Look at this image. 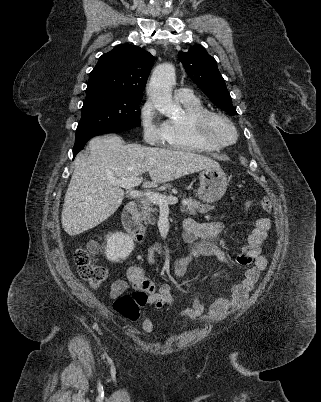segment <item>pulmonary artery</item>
Segmentation results:
<instances>
[{"instance_id":"1","label":"pulmonary artery","mask_w":321,"mask_h":402,"mask_svg":"<svg viewBox=\"0 0 321 402\" xmlns=\"http://www.w3.org/2000/svg\"><path fill=\"white\" fill-rule=\"evenodd\" d=\"M175 95L180 101L193 99L195 96L188 88H178L175 90Z\"/></svg>"}]
</instances>
